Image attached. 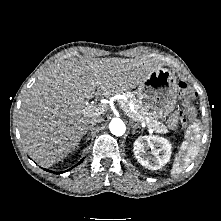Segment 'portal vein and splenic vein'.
Segmentation results:
<instances>
[{
	"mask_svg": "<svg viewBox=\"0 0 221 221\" xmlns=\"http://www.w3.org/2000/svg\"><path fill=\"white\" fill-rule=\"evenodd\" d=\"M120 104V106H121V108L126 112V110L128 109V108H130L131 110H133V105L132 104H130L129 106L130 107H128V106H126L124 103H122V102H120L119 103ZM86 107H87V111H89V112H92V113H94V114H102L103 112H105L106 111V107H105V105H99V107H95L93 104H90V103H86ZM142 123V125L143 126H146V124L144 123V122H141ZM151 130V129H150Z\"/></svg>",
	"mask_w": 221,
	"mask_h": 221,
	"instance_id": "18ae733b",
	"label": "portal vein and splenic vein"
}]
</instances>
